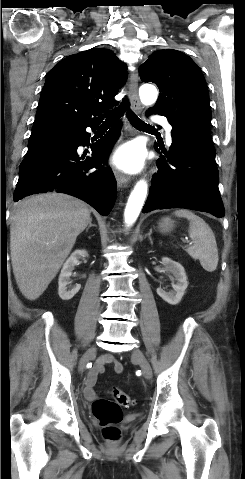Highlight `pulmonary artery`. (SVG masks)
<instances>
[{"label":"pulmonary artery","mask_w":245,"mask_h":479,"mask_svg":"<svg viewBox=\"0 0 245 479\" xmlns=\"http://www.w3.org/2000/svg\"><path fill=\"white\" fill-rule=\"evenodd\" d=\"M154 121L160 123L161 125H163L165 127V129L168 132V142L170 143L171 142V137H170L171 127H170L169 123L166 121V119L164 117H161V116L155 117Z\"/></svg>","instance_id":"e3ab8cb5"}]
</instances>
